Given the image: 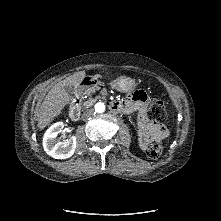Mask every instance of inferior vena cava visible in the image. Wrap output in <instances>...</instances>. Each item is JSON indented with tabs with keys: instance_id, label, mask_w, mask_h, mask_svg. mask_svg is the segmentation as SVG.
I'll return each mask as SVG.
<instances>
[{
	"instance_id": "602c4592",
	"label": "inferior vena cava",
	"mask_w": 221,
	"mask_h": 221,
	"mask_svg": "<svg viewBox=\"0 0 221 221\" xmlns=\"http://www.w3.org/2000/svg\"><path fill=\"white\" fill-rule=\"evenodd\" d=\"M94 114V110L93 109H88L86 111H84V113L82 114V119L86 120L89 117H91Z\"/></svg>"
}]
</instances>
